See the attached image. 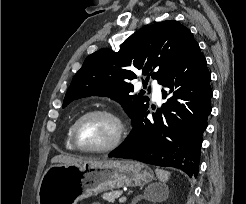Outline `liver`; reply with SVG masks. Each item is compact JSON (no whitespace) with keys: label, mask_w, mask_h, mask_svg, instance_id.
<instances>
[{"label":"liver","mask_w":246,"mask_h":204,"mask_svg":"<svg viewBox=\"0 0 246 204\" xmlns=\"http://www.w3.org/2000/svg\"><path fill=\"white\" fill-rule=\"evenodd\" d=\"M85 161H93V160H87L82 158H75L69 155H56L51 159V163H62V164H74L79 162H85Z\"/></svg>","instance_id":"liver-1"}]
</instances>
